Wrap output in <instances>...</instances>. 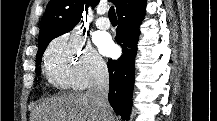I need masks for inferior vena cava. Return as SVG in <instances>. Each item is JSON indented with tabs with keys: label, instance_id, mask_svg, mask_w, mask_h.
<instances>
[{
	"label": "inferior vena cava",
	"instance_id": "602c4592",
	"mask_svg": "<svg viewBox=\"0 0 217 121\" xmlns=\"http://www.w3.org/2000/svg\"><path fill=\"white\" fill-rule=\"evenodd\" d=\"M109 73L106 65L99 63L93 70V75L86 92L92 98L100 111L102 121H113L112 110L108 102Z\"/></svg>",
	"mask_w": 217,
	"mask_h": 121
}]
</instances>
